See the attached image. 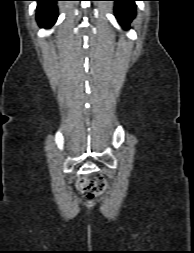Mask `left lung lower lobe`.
I'll list each match as a JSON object with an SVG mask.
<instances>
[{
  "instance_id": "left-lung-lower-lobe-1",
  "label": "left lung lower lobe",
  "mask_w": 194,
  "mask_h": 253,
  "mask_svg": "<svg viewBox=\"0 0 194 253\" xmlns=\"http://www.w3.org/2000/svg\"><path fill=\"white\" fill-rule=\"evenodd\" d=\"M115 1V15L124 28H129V23L135 17V1L139 0H111Z\"/></svg>"
}]
</instances>
